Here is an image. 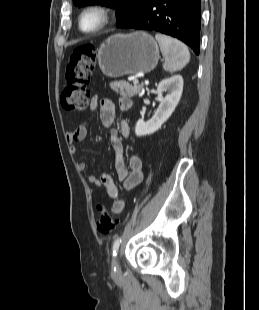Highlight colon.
Instances as JSON below:
<instances>
[{"label":"colon","instance_id":"obj_1","mask_svg":"<svg viewBox=\"0 0 259 310\" xmlns=\"http://www.w3.org/2000/svg\"><path fill=\"white\" fill-rule=\"evenodd\" d=\"M95 48L90 44L76 47L67 57L66 84L61 95V104L65 109L84 110L89 103V82L95 69ZM98 231L109 234L115 230L117 220L99 204Z\"/></svg>","mask_w":259,"mask_h":310}]
</instances>
